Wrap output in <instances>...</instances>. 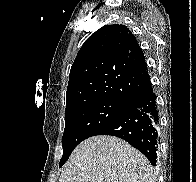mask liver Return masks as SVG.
<instances>
[{
    "label": "liver",
    "instance_id": "obj_1",
    "mask_svg": "<svg viewBox=\"0 0 196 182\" xmlns=\"http://www.w3.org/2000/svg\"><path fill=\"white\" fill-rule=\"evenodd\" d=\"M59 182H156L147 158L124 140L94 136L71 154Z\"/></svg>",
    "mask_w": 196,
    "mask_h": 182
}]
</instances>
